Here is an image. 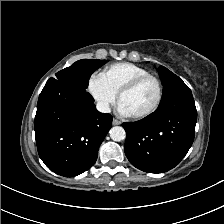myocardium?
<instances>
[{
    "instance_id": "obj_1",
    "label": "myocardium",
    "mask_w": 224,
    "mask_h": 224,
    "mask_svg": "<svg viewBox=\"0 0 224 224\" xmlns=\"http://www.w3.org/2000/svg\"><path fill=\"white\" fill-rule=\"evenodd\" d=\"M148 79L155 81V83L157 85V88H158L157 98H156L154 104L146 111L139 113V114L130 115L133 119H137V120L144 119L157 111V109L159 108V106L162 102V99H163V85H162L161 80L157 76H154L152 74L137 76V77L131 79L130 81H128L126 84H124L117 93V99L120 102V99L124 94L132 91L141 82L148 80Z\"/></svg>"
}]
</instances>
